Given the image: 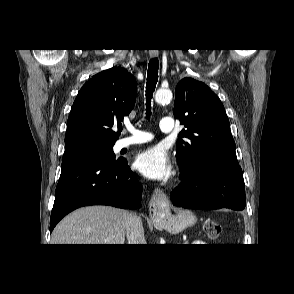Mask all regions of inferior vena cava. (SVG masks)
Returning a JSON list of instances; mask_svg holds the SVG:
<instances>
[{"mask_svg": "<svg viewBox=\"0 0 294 294\" xmlns=\"http://www.w3.org/2000/svg\"><path fill=\"white\" fill-rule=\"evenodd\" d=\"M126 236H127L128 244H132V245L146 244L142 220L139 216H137L134 213H130L127 217Z\"/></svg>", "mask_w": 294, "mask_h": 294, "instance_id": "1", "label": "inferior vena cava"}]
</instances>
